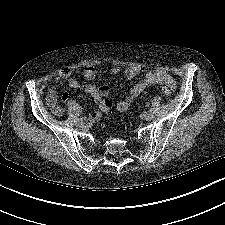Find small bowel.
<instances>
[{"label":"small bowel","instance_id":"small-bowel-1","mask_svg":"<svg viewBox=\"0 0 225 225\" xmlns=\"http://www.w3.org/2000/svg\"><path fill=\"white\" fill-rule=\"evenodd\" d=\"M119 72H120L119 67H112L110 69L111 74H118ZM140 72L141 70L139 67H129L125 70L124 73L128 79H133L136 76H138ZM83 77L86 80L95 79L97 77L96 69L92 67L86 69L83 73ZM63 81H68L69 86L72 89L84 91L85 93L91 95V97L95 101L100 102L99 110L92 113L90 117L93 122L98 121L103 113L109 112V111L106 112L103 106V101L107 99L105 97L108 95L109 92V87L107 85H97V84L82 85L77 78L71 77V70L68 68L61 69L55 78L56 83H61ZM155 84H164L172 89L176 87V82L174 78L168 72L164 70L151 71L147 73L142 80L134 84V86L131 88L126 98L117 103V109L121 112L126 111L131 106L133 101L146 88ZM68 97H69L68 93H63L61 99L62 101H67ZM57 101H58L57 89L54 86H51L47 93L46 103L50 107L53 114L60 116L63 113V109L61 106L57 105Z\"/></svg>","mask_w":225,"mask_h":225}]
</instances>
